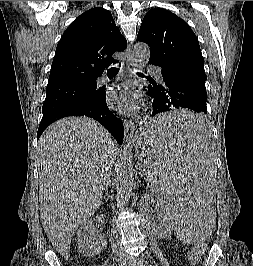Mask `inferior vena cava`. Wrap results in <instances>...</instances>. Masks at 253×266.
Wrapping results in <instances>:
<instances>
[{"instance_id":"1","label":"inferior vena cava","mask_w":253,"mask_h":266,"mask_svg":"<svg viewBox=\"0 0 253 266\" xmlns=\"http://www.w3.org/2000/svg\"><path fill=\"white\" fill-rule=\"evenodd\" d=\"M105 179H106V182H108V175H106ZM113 251L115 253L117 261H124L127 259L126 254L120 249L119 242L117 241V236H116L115 242L113 243Z\"/></svg>"}]
</instances>
